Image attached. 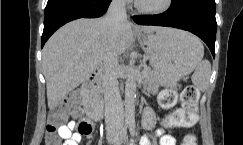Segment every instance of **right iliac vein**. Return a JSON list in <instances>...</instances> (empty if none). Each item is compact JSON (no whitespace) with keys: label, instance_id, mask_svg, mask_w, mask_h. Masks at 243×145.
Segmentation results:
<instances>
[{"label":"right iliac vein","instance_id":"63e3f726","mask_svg":"<svg viewBox=\"0 0 243 145\" xmlns=\"http://www.w3.org/2000/svg\"><path fill=\"white\" fill-rule=\"evenodd\" d=\"M107 140L110 144H113L117 141V135L110 134V135L107 136Z\"/></svg>","mask_w":243,"mask_h":145}]
</instances>
